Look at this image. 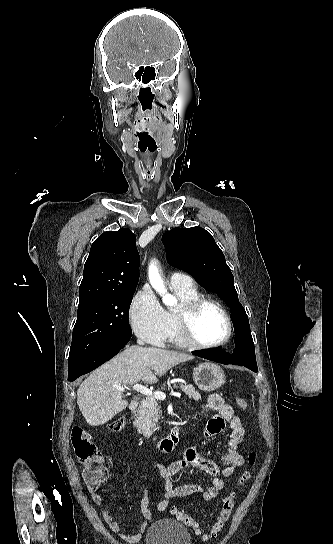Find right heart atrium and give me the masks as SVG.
I'll return each mask as SVG.
<instances>
[{
  "label": "right heart atrium",
  "mask_w": 333,
  "mask_h": 544,
  "mask_svg": "<svg viewBox=\"0 0 333 544\" xmlns=\"http://www.w3.org/2000/svg\"><path fill=\"white\" fill-rule=\"evenodd\" d=\"M129 321L136 336L149 344L162 346L168 338L166 311L149 287H143L133 297Z\"/></svg>",
  "instance_id": "right-heart-atrium-1"
}]
</instances>
